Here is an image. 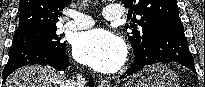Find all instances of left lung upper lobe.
Returning <instances> with one entry per match:
<instances>
[{"label":"left lung upper lobe","mask_w":205,"mask_h":87,"mask_svg":"<svg viewBox=\"0 0 205 87\" xmlns=\"http://www.w3.org/2000/svg\"><path fill=\"white\" fill-rule=\"evenodd\" d=\"M130 13L141 18L132 19L129 24L133 29L128 33V39L135 51L145 49L149 40L164 25L181 22L176 0H123ZM137 23L141 28L137 29ZM128 26V25H127Z\"/></svg>","instance_id":"left-lung-upper-lobe-1"}]
</instances>
